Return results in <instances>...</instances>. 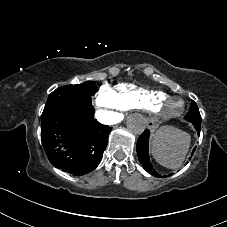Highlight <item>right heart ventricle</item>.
Masks as SVG:
<instances>
[{
    "instance_id": "e07e8e85",
    "label": "right heart ventricle",
    "mask_w": 227,
    "mask_h": 227,
    "mask_svg": "<svg viewBox=\"0 0 227 227\" xmlns=\"http://www.w3.org/2000/svg\"><path fill=\"white\" fill-rule=\"evenodd\" d=\"M113 94L124 111L139 110L150 112L152 106L168 96L160 90H151L131 83H121L112 88Z\"/></svg>"
}]
</instances>
